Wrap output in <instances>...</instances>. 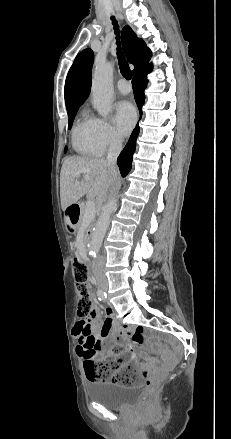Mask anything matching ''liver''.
<instances>
[{
  "label": "liver",
  "instance_id": "obj_1",
  "mask_svg": "<svg viewBox=\"0 0 231 439\" xmlns=\"http://www.w3.org/2000/svg\"><path fill=\"white\" fill-rule=\"evenodd\" d=\"M83 173L84 179L77 178ZM114 171L104 159L87 157H69L65 159L60 173V198L62 209L75 204L82 196L96 197L102 202L108 189L116 182Z\"/></svg>",
  "mask_w": 231,
  "mask_h": 439
}]
</instances>
